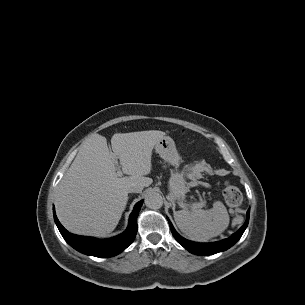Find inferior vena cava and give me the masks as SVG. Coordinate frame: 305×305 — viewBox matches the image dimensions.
Here are the masks:
<instances>
[{
	"mask_svg": "<svg viewBox=\"0 0 305 305\" xmlns=\"http://www.w3.org/2000/svg\"><path fill=\"white\" fill-rule=\"evenodd\" d=\"M143 190V187L142 186H132L130 189H129V192L130 193H140L142 192Z\"/></svg>",
	"mask_w": 305,
	"mask_h": 305,
	"instance_id": "obj_1",
	"label": "inferior vena cava"
}]
</instances>
